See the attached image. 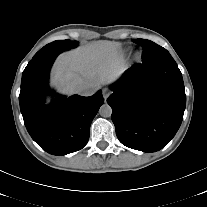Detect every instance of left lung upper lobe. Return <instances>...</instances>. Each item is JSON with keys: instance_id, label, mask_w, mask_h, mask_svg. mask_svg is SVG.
<instances>
[{"instance_id": "5c2ea615", "label": "left lung upper lobe", "mask_w": 207, "mask_h": 207, "mask_svg": "<svg viewBox=\"0 0 207 207\" xmlns=\"http://www.w3.org/2000/svg\"><path fill=\"white\" fill-rule=\"evenodd\" d=\"M133 42L141 45L144 49L142 55V63H153L160 60L172 58L170 53L165 48L157 45L150 40L137 39L133 40Z\"/></svg>"}]
</instances>
